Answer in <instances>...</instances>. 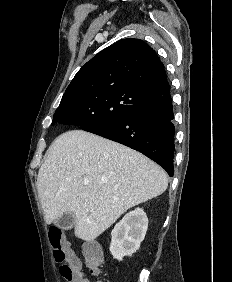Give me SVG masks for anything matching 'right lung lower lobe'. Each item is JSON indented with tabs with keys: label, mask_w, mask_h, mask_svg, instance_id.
<instances>
[{
	"label": "right lung lower lobe",
	"mask_w": 232,
	"mask_h": 282,
	"mask_svg": "<svg viewBox=\"0 0 232 282\" xmlns=\"http://www.w3.org/2000/svg\"><path fill=\"white\" fill-rule=\"evenodd\" d=\"M170 90L147 102L139 111L113 122L83 130L137 150L173 176L174 133Z\"/></svg>",
	"instance_id": "98d812e1"
}]
</instances>
